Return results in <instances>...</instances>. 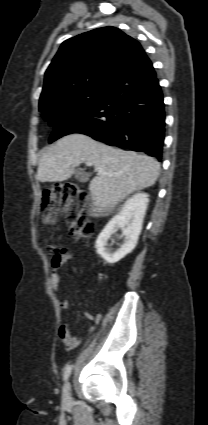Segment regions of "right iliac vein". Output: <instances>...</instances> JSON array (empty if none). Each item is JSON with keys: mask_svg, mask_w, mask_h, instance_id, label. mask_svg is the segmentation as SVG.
Returning <instances> with one entry per match:
<instances>
[{"mask_svg": "<svg viewBox=\"0 0 208 425\" xmlns=\"http://www.w3.org/2000/svg\"><path fill=\"white\" fill-rule=\"evenodd\" d=\"M71 385L69 382H66L63 388L62 401L64 405H69L71 402Z\"/></svg>", "mask_w": 208, "mask_h": 425, "instance_id": "1", "label": "right iliac vein"}]
</instances>
